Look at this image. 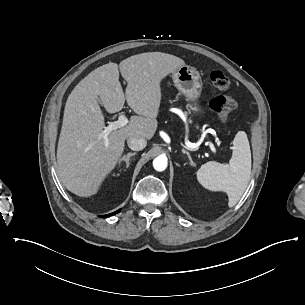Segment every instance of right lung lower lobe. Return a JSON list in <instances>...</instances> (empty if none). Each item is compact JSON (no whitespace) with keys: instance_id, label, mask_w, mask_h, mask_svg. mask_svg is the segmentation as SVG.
Wrapping results in <instances>:
<instances>
[{"instance_id":"right-lung-lower-lobe-1","label":"right lung lower lobe","mask_w":305,"mask_h":305,"mask_svg":"<svg viewBox=\"0 0 305 305\" xmlns=\"http://www.w3.org/2000/svg\"><path fill=\"white\" fill-rule=\"evenodd\" d=\"M119 211H120V210H118V211H116V212H114V213H111V214L105 215V217L110 216V215H113V214H116V213H118Z\"/></svg>"}]
</instances>
